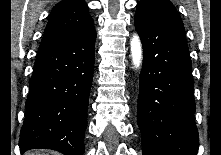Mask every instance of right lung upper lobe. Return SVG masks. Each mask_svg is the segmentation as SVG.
<instances>
[{
    "mask_svg": "<svg viewBox=\"0 0 221 155\" xmlns=\"http://www.w3.org/2000/svg\"><path fill=\"white\" fill-rule=\"evenodd\" d=\"M93 19L84 0H63L52 9L44 34H58L88 27Z\"/></svg>",
    "mask_w": 221,
    "mask_h": 155,
    "instance_id": "right-lung-upper-lobe-1",
    "label": "right lung upper lobe"
}]
</instances>
